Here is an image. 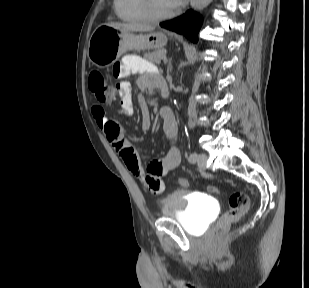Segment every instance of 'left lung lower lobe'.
I'll return each instance as SVG.
<instances>
[{
	"label": "left lung lower lobe",
	"instance_id": "obj_1",
	"mask_svg": "<svg viewBox=\"0 0 309 288\" xmlns=\"http://www.w3.org/2000/svg\"><path fill=\"white\" fill-rule=\"evenodd\" d=\"M201 24V17L197 13L190 10L178 18L162 22L160 26L175 31L179 34H183L193 42H197Z\"/></svg>",
	"mask_w": 309,
	"mask_h": 288
}]
</instances>
